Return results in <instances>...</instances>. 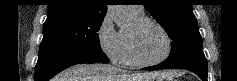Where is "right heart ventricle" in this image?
I'll use <instances>...</instances> for the list:
<instances>
[{"label": "right heart ventricle", "instance_id": "e07e8e85", "mask_svg": "<svg viewBox=\"0 0 237 81\" xmlns=\"http://www.w3.org/2000/svg\"><path fill=\"white\" fill-rule=\"evenodd\" d=\"M130 16L135 22L144 19V14L136 15V14L130 13ZM120 34H121L122 43H123V54H122L121 60L123 63L127 65H134V62L132 61L130 53H129L128 43H127V32L122 31L120 32Z\"/></svg>", "mask_w": 237, "mask_h": 81}]
</instances>
